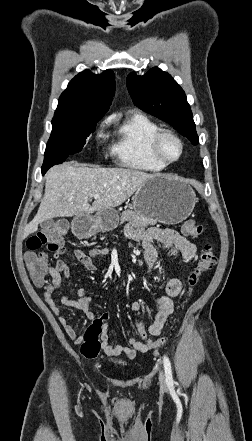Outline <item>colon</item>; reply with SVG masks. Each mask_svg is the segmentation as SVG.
Segmentation results:
<instances>
[{
    "instance_id": "obj_1",
    "label": "colon",
    "mask_w": 252,
    "mask_h": 441,
    "mask_svg": "<svg viewBox=\"0 0 252 441\" xmlns=\"http://www.w3.org/2000/svg\"><path fill=\"white\" fill-rule=\"evenodd\" d=\"M67 230V221L58 220L28 240L26 261L31 279L36 286L40 287L44 285L47 275V258L45 253L39 252V250L46 247L49 251L54 253L63 252L64 238ZM202 230V226L197 224L194 220H187L182 225V233L191 238L199 237ZM216 262L217 256L213 247L210 244L205 245L199 254L196 267L188 276V293H191L193 288L198 285L203 274L212 269ZM108 319L109 313L104 312L96 317L86 329L81 342V353L84 357L95 358L100 353L101 342L99 337ZM135 328L141 336H145L146 330L143 323L136 321ZM165 341V338H161L156 343L150 344L149 346L158 347L163 345Z\"/></svg>"
}]
</instances>
